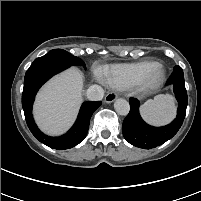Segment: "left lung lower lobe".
<instances>
[{"label": "left lung lower lobe", "mask_w": 201, "mask_h": 201, "mask_svg": "<svg viewBox=\"0 0 201 201\" xmlns=\"http://www.w3.org/2000/svg\"><path fill=\"white\" fill-rule=\"evenodd\" d=\"M167 85L173 86L178 101L177 117L166 126H150L142 120L139 114V101L131 98L130 112L122 125L123 136L130 144L143 149L155 148L171 139L180 129L188 102L183 70L180 66L174 67Z\"/></svg>", "instance_id": "left-lung-lower-lobe-1"}]
</instances>
